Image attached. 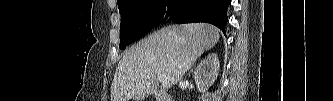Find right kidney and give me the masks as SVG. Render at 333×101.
Listing matches in <instances>:
<instances>
[{"instance_id": "obj_1", "label": "right kidney", "mask_w": 333, "mask_h": 101, "mask_svg": "<svg viewBox=\"0 0 333 101\" xmlns=\"http://www.w3.org/2000/svg\"><path fill=\"white\" fill-rule=\"evenodd\" d=\"M220 63L216 53L209 54L197 66L194 77L198 88L206 91L217 79Z\"/></svg>"}]
</instances>
